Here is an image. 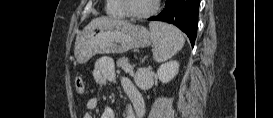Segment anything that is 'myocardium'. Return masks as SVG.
Segmentation results:
<instances>
[{
	"instance_id": "obj_1",
	"label": "myocardium",
	"mask_w": 273,
	"mask_h": 118,
	"mask_svg": "<svg viewBox=\"0 0 273 118\" xmlns=\"http://www.w3.org/2000/svg\"><path fill=\"white\" fill-rule=\"evenodd\" d=\"M126 15L134 19H146L153 16L159 9V0H154L152 7L144 12H134L129 9L128 0H121Z\"/></svg>"
}]
</instances>
